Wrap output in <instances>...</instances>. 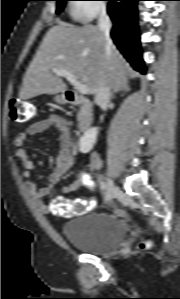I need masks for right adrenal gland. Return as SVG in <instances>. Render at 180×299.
<instances>
[{
	"label": "right adrenal gland",
	"instance_id": "2a0ac1e0",
	"mask_svg": "<svg viewBox=\"0 0 180 299\" xmlns=\"http://www.w3.org/2000/svg\"><path fill=\"white\" fill-rule=\"evenodd\" d=\"M123 90H124V91H129L130 89H129L128 86H126ZM116 92H117V90L114 91V93H116ZM114 93L111 95V98L113 97Z\"/></svg>",
	"mask_w": 180,
	"mask_h": 299
}]
</instances>
